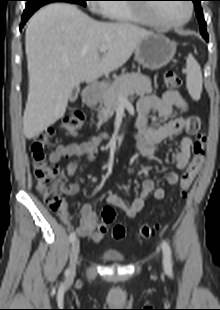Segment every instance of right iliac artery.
<instances>
[{
    "label": "right iliac artery",
    "mask_w": 220,
    "mask_h": 310,
    "mask_svg": "<svg viewBox=\"0 0 220 310\" xmlns=\"http://www.w3.org/2000/svg\"><path fill=\"white\" fill-rule=\"evenodd\" d=\"M76 239V234L74 232H71L69 235L70 242H73Z\"/></svg>",
    "instance_id": "82829eb1"
}]
</instances>
